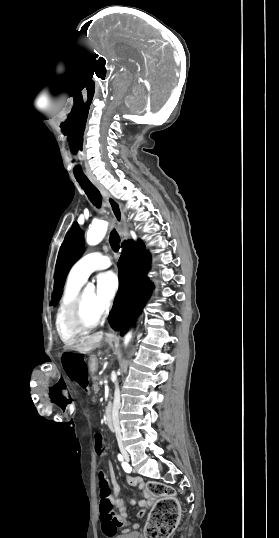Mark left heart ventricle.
I'll list each match as a JSON object with an SVG mask.
<instances>
[{
    "label": "left heart ventricle",
    "instance_id": "1",
    "mask_svg": "<svg viewBox=\"0 0 279 538\" xmlns=\"http://www.w3.org/2000/svg\"><path fill=\"white\" fill-rule=\"evenodd\" d=\"M86 315L89 318L97 317L103 313L98 300H97V291L94 289L86 290Z\"/></svg>",
    "mask_w": 279,
    "mask_h": 538
}]
</instances>
